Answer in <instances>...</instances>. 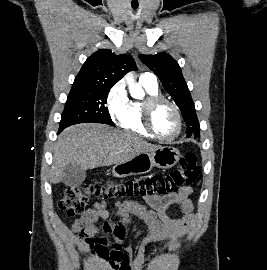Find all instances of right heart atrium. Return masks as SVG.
Segmentation results:
<instances>
[{"mask_svg":"<svg viewBox=\"0 0 267 270\" xmlns=\"http://www.w3.org/2000/svg\"><path fill=\"white\" fill-rule=\"evenodd\" d=\"M129 104L125 83L118 81L107 93L106 108L110 118L119 122L125 115Z\"/></svg>","mask_w":267,"mask_h":270,"instance_id":"right-heart-atrium-1","label":"right heart atrium"}]
</instances>
